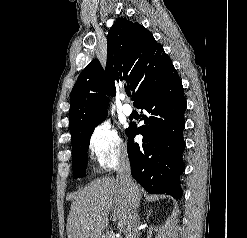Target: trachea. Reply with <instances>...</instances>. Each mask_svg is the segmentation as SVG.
Listing matches in <instances>:
<instances>
[{
    "label": "trachea",
    "mask_w": 247,
    "mask_h": 238,
    "mask_svg": "<svg viewBox=\"0 0 247 238\" xmlns=\"http://www.w3.org/2000/svg\"><path fill=\"white\" fill-rule=\"evenodd\" d=\"M126 94H127V96H130L131 92L130 91H126Z\"/></svg>",
    "instance_id": "3493384b"
}]
</instances>
